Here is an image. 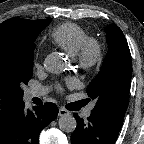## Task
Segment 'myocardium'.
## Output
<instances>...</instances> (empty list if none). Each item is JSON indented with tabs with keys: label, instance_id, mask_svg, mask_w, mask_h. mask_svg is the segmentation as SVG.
Masks as SVG:
<instances>
[{
	"label": "myocardium",
	"instance_id": "myocardium-1",
	"mask_svg": "<svg viewBox=\"0 0 144 144\" xmlns=\"http://www.w3.org/2000/svg\"><path fill=\"white\" fill-rule=\"evenodd\" d=\"M103 58V46L94 37H87L75 54L78 66L83 70H91L97 67Z\"/></svg>",
	"mask_w": 144,
	"mask_h": 144
}]
</instances>
